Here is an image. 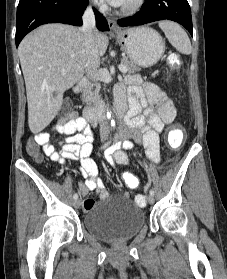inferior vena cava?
Instances as JSON below:
<instances>
[{"label": "inferior vena cava", "mask_w": 227, "mask_h": 279, "mask_svg": "<svg viewBox=\"0 0 227 279\" xmlns=\"http://www.w3.org/2000/svg\"><path fill=\"white\" fill-rule=\"evenodd\" d=\"M83 33L87 54L86 75L89 79L95 80L97 69L100 64V56L95 38V16L91 6L87 7L83 16Z\"/></svg>", "instance_id": "602c4592"}]
</instances>
